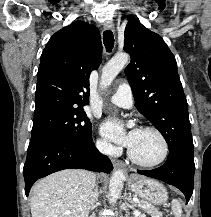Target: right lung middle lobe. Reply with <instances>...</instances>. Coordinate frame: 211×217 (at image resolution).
I'll list each match as a JSON object with an SVG mask.
<instances>
[{
	"instance_id": "1",
	"label": "right lung middle lobe",
	"mask_w": 211,
	"mask_h": 217,
	"mask_svg": "<svg viewBox=\"0 0 211 217\" xmlns=\"http://www.w3.org/2000/svg\"><path fill=\"white\" fill-rule=\"evenodd\" d=\"M32 136H54L80 145L92 141L91 123L84 110L57 111L34 118Z\"/></svg>"
}]
</instances>
